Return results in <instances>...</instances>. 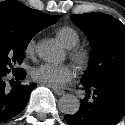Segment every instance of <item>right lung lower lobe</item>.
I'll use <instances>...</instances> for the list:
<instances>
[{
    "mask_svg": "<svg viewBox=\"0 0 125 125\" xmlns=\"http://www.w3.org/2000/svg\"><path fill=\"white\" fill-rule=\"evenodd\" d=\"M9 73L0 70V122L19 114L25 108L31 90L36 86L23 84L22 80L26 77V73L18 68L10 73L14 80H10L12 88H9L6 84Z\"/></svg>",
    "mask_w": 125,
    "mask_h": 125,
    "instance_id": "1",
    "label": "right lung lower lobe"
}]
</instances>
